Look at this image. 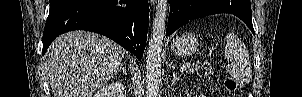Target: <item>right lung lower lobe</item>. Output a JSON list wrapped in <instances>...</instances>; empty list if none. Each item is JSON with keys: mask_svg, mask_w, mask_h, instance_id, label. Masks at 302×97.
I'll use <instances>...</instances> for the list:
<instances>
[{"mask_svg": "<svg viewBox=\"0 0 302 97\" xmlns=\"http://www.w3.org/2000/svg\"><path fill=\"white\" fill-rule=\"evenodd\" d=\"M148 26V0H50L43 55L60 34L88 30L107 36L141 60Z\"/></svg>", "mask_w": 302, "mask_h": 97, "instance_id": "1", "label": "right lung lower lobe"}]
</instances>
